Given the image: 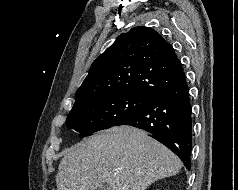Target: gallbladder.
<instances>
[{"instance_id":"1","label":"gallbladder","mask_w":238,"mask_h":190,"mask_svg":"<svg viewBox=\"0 0 238 190\" xmlns=\"http://www.w3.org/2000/svg\"><path fill=\"white\" fill-rule=\"evenodd\" d=\"M98 190H107V186L106 185H102L101 187H99Z\"/></svg>"}]
</instances>
